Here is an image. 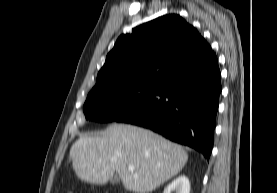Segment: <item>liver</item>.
<instances>
[{
    "instance_id": "6515ba94",
    "label": "liver",
    "mask_w": 277,
    "mask_h": 193,
    "mask_svg": "<svg viewBox=\"0 0 277 193\" xmlns=\"http://www.w3.org/2000/svg\"><path fill=\"white\" fill-rule=\"evenodd\" d=\"M70 160L83 181L105 184L116 172L125 189L148 193L176 176L188 154L151 130L113 123L97 135L80 137L70 149Z\"/></svg>"
}]
</instances>
